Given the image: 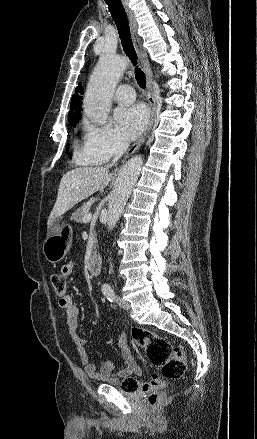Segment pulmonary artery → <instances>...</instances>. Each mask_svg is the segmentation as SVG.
Segmentation results:
<instances>
[{"label": "pulmonary artery", "mask_w": 257, "mask_h": 439, "mask_svg": "<svg viewBox=\"0 0 257 439\" xmlns=\"http://www.w3.org/2000/svg\"><path fill=\"white\" fill-rule=\"evenodd\" d=\"M114 98L117 103L127 105L134 101L135 93L131 86L124 84L117 88Z\"/></svg>", "instance_id": "e3ab8cb5"}]
</instances>
